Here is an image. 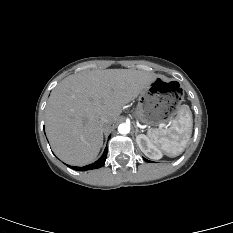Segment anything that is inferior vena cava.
<instances>
[{"label":"inferior vena cava","instance_id":"inferior-vena-cava-1","mask_svg":"<svg viewBox=\"0 0 233 233\" xmlns=\"http://www.w3.org/2000/svg\"><path fill=\"white\" fill-rule=\"evenodd\" d=\"M108 124H109V121L104 117H102L99 121V125L101 128L107 127Z\"/></svg>","mask_w":233,"mask_h":233}]
</instances>
